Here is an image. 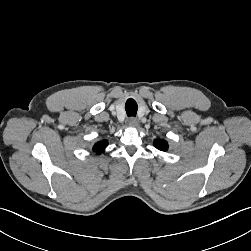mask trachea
I'll use <instances>...</instances> for the list:
<instances>
[{"label": "trachea", "instance_id": "1", "mask_svg": "<svg viewBox=\"0 0 251 251\" xmlns=\"http://www.w3.org/2000/svg\"><path fill=\"white\" fill-rule=\"evenodd\" d=\"M137 103L133 100V99H129L127 100L126 104H125V110L127 113L128 117H135L137 114Z\"/></svg>", "mask_w": 251, "mask_h": 251}]
</instances>
